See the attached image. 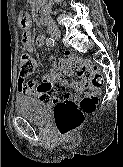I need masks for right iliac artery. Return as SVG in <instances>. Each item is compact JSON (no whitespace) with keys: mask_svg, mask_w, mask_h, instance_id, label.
Instances as JSON below:
<instances>
[{"mask_svg":"<svg viewBox=\"0 0 123 167\" xmlns=\"http://www.w3.org/2000/svg\"><path fill=\"white\" fill-rule=\"evenodd\" d=\"M46 45H47L48 47H53V46L55 45L54 39H53V38H47V39H46Z\"/></svg>","mask_w":123,"mask_h":167,"instance_id":"right-iliac-artery-1","label":"right iliac artery"}]
</instances>
